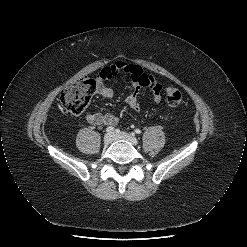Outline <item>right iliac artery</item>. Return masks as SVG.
Returning <instances> with one entry per match:
<instances>
[{
  "mask_svg": "<svg viewBox=\"0 0 247 247\" xmlns=\"http://www.w3.org/2000/svg\"><path fill=\"white\" fill-rule=\"evenodd\" d=\"M113 131H115L116 133L119 132L118 129H114V127H112V126H109V127L106 128V132H113Z\"/></svg>",
  "mask_w": 247,
  "mask_h": 247,
  "instance_id": "obj_1",
  "label": "right iliac artery"
}]
</instances>
